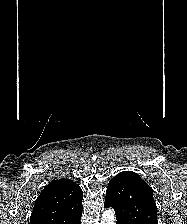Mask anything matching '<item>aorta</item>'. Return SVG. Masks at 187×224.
<instances>
[{
	"label": "aorta",
	"mask_w": 187,
	"mask_h": 224,
	"mask_svg": "<svg viewBox=\"0 0 187 224\" xmlns=\"http://www.w3.org/2000/svg\"><path fill=\"white\" fill-rule=\"evenodd\" d=\"M100 224H115V212L112 209H106L101 216Z\"/></svg>",
	"instance_id": "aorta-1"
}]
</instances>
